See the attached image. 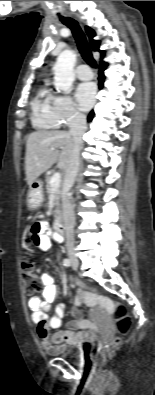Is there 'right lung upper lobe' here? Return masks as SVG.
<instances>
[{"mask_svg": "<svg viewBox=\"0 0 155 395\" xmlns=\"http://www.w3.org/2000/svg\"><path fill=\"white\" fill-rule=\"evenodd\" d=\"M85 30H86V33H87L88 36H89L91 48H92L94 51H99V52L101 53L102 57H103L105 52L99 50L100 42L93 39V37L95 36L94 30L91 29V28H89L88 26H86Z\"/></svg>", "mask_w": 155, "mask_h": 395, "instance_id": "1", "label": "right lung upper lobe"}]
</instances>
